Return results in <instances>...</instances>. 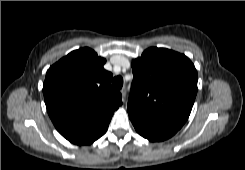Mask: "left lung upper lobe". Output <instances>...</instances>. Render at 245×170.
I'll use <instances>...</instances> for the list:
<instances>
[{"label": "left lung upper lobe", "instance_id": "obj_1", "mask_svg": "<svg viewBox=\"0 0 245 170\" xmlns=\"http://www.w3.org/2000/svg\"><path fill=\"white\" fill-rule=\"evenodd\" d=\"M128 113L180 129L197 93V71L188 57L165 48H148L134 59Z\"/></svg>", "mask_w": 245, "mask_h": 170}]
</instances>
